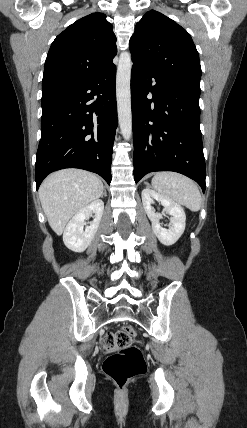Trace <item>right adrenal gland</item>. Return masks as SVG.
<instances>
[{
	"label": "right adrenal gland",
	"mask_w": 247,
	"mask_h": 428,
	"mask_svg": "<svg viewBox=\"0 0 247 428\" xmlns=\"http://www.w3.org/2000/svg\"><path fill=\"white\" fill-rule=\"evenodd\" d=\"M103 195H104L105 197L107 196L106 189H104V193H103Z\"/></svg>",
	"instance_id": "1"
}]
</instances>
